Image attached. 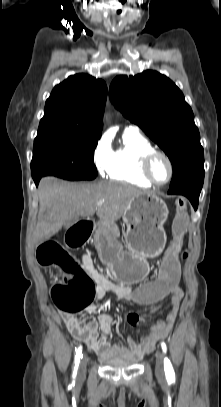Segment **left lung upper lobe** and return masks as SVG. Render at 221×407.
Masks as SVG:
<instances>
[{"label":"left lung upper lobe","instance_id":"5c2ea615","mask_svg":"<svg viewBox=\"0 0 221 407\" xmlns=\"http://www.w3.org/2000/svg\"><path fill=\"white\" fill-rule=\"evenodd\" d=\"M109 95L114 106L167 154L173 167L170 186L204 168L193 112L169 78L151 70L120 75L112 81Z\"/></svg>","mask_w":221,"mask_h":407}]
</instances>
